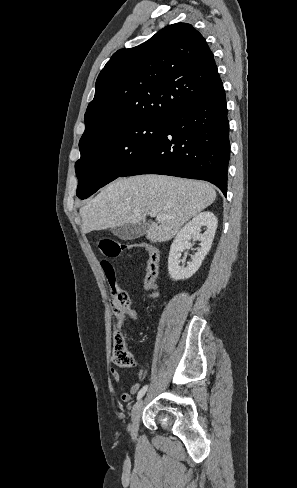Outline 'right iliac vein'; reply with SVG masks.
Returning <instances> with one entry per match:
<instances>
[{"label": "right iliac vein", "mask_w": 297, "mask_h": 488, "mask_svg": "<svg viewBox=\"0 0 297 488\" xmlns=\"http://www.w3.org/2000/svg\"><path fill=\"white\" fill-rule=\"evenodd\" d=\"M144 407V400H139L133 406L131 411V425L129 426L130 434L133 439L136 438L138 432L139 420Z\"/></svg>", "instance_id": "right-iliac-vein-1"}]
</instances>
